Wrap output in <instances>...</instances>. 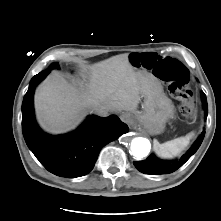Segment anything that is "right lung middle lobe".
Returning <instances> with one entry per match:
<instances>
[{
	"label": "right lung middle lobe",
	"mask_w": 221,
	"mask_h": 221,
	"mask_svg": "<svg viewBox=\"0 0 221 221\" xmlns=\"http://www.w3.org/2000/svg\"><path fill=\"white\" fill-rule=\"evenodd\" d=\"M52 67L57 68L58 67V63H53Z\"/></svg>",
	"instance_id": "right-lung-middle-lobe-1"
}]
</instances>
